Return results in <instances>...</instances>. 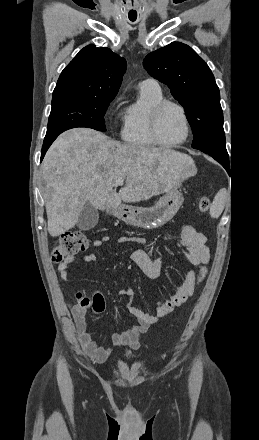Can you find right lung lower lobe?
I'll use <instances>...</instances> for the list:
<instances>
[{
	"instance_id": "98d812e1",
	"label": "right lung lower lobe",
	"mask_w": 259,
	"mask_h": 440,
	"mask_svg": "<svg viewBox=\"0 0 259 440\" xmlns=\"http://www.w3.org/2000/svg\"><path fill=\"white\" fill-rule=\"evenodd\" d=\"M58 135H59V134H57V135H55V136H52V137H50V138H45V139H44V143H43L42 151H41V161H42V159H43V157H44L46 151L48 150V148H49L50 145L53 143V141L57 138Z\"/></svg>"
}]
</instances>
